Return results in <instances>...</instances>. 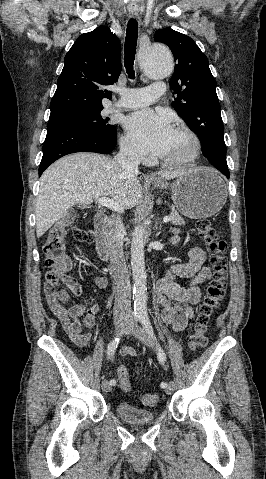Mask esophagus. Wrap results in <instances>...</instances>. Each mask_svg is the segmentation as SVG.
I'll list each match as a JSON object with an SVG mask.
<instances>
[{
  "label": "esophagus",
  "mask_w": 266,
  "mask_h": 479,
  "mask_svg": "<svg viewBox=\"0 0 266 479\" xmlns=\"http://www.w3.org/2000/svg\"><path fill=\"white\" fill-rule=\"evenodd\" d=\"M129 14L132 16V17H135L138 15V10L136 9H129ZM151 177H156L155 175H150Z\"/></svg>",
  "instance_id": "34e87169"
}]
</instances>
